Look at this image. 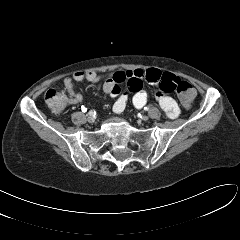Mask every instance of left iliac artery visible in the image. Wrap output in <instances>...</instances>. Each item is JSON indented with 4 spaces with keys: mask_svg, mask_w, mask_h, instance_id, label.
<instances>
[{
    "mask_svg": "<svg viewBox=\"0 0 240 240\" xmlns=\"http://www.w3.org/2000/svg\"><path fill=\"white\" fill-rule=\"evenodd\" d=\"M144 110L148 111V110H149V107H144Z\"/></svg>",
    "mask_w": 240,
    "mask_h": 240,
    "instance_id": "obj_1",
    "label": "left iliac artery"
}]
</instances>
